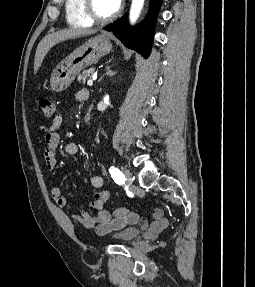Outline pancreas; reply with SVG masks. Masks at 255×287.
<instances>
[{"label": "pancreas", "mask_w": 255, "mask_h": 287, "mask_svg": "<svg viewBox=\"0 0 255 287\" xmlns=\"http://www.w3.org/2000/svg\"><path fill=\"white\" fill-rule=\"evenodd\" d=\"M93 74H94V68L84 70L82 74H79L77 82H83V84H85L86 80H88V78H92Z\"/></svg>", "instance_id": "1"}]
</instances>
